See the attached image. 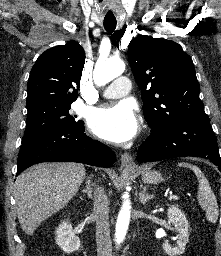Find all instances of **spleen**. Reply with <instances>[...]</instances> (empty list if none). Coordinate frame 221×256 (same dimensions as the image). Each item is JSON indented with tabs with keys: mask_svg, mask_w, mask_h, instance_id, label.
Returning a JSON list of instances; mask_svg holds the SVG:
<instances>
[{
	"mask_svg": "<svg viewBox=\"0 0 221 256\" xmlns=\"http://www.w3.org/2000/svg\"><path fill=\"white\" fill-rule=\"evenodd\" d=\"M179 166L188 167L192 169L197 176L199 182V188L197 192V199L200 206L206 212V217L208 221L216 223L218 220V205L214 193L211 190L208 180L205 178L204 174L195 165L189 163H178Z\"/></svg>",
	"mask_w": 221,
	"mask_h": 256,
	"instance_id": "3e777b00",
	"label": "spleen"
}]
</instances>
